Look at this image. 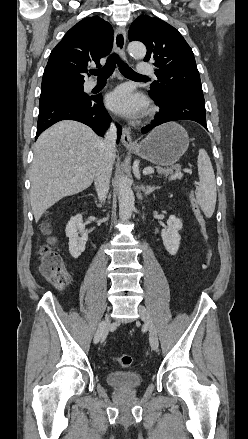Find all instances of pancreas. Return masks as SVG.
Masks as SVG:
<instances>
[{
  "label": "pancreas",
  "instance_id": "obj_1",
  "mask_svg": "<svg viewBox=\"0 0 248 439\" xmlns=\"http://www.w3.org/2000/svg\"><path fill=\"white\" fill-rule=\"evenodd\" d=\"M156 170H157L158 174H160V175H165V176L169 175L170 180H173L176 178H181L183 176V174L181 173V166L180 165H175L171 168L157 167Z\"/></svg>",
  "mask_w": 248,
  "mask_h": 439
}]
</instances>
